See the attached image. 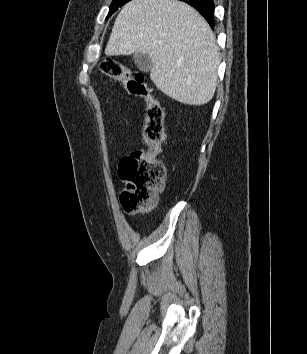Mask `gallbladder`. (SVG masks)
Returning <instances> with one entry per match:
<instances>
[{
	"instance_id": "bac80fb5",
	"label": "gallbladder",
	"mask_w": 307,
	"mask_h": 354,
	"mask_svg": "<svg viewBox=\"0 0 307 354\" xmlns=\"http://www.w3.org/2000/svg\"><path fill=\"white\" fill-rule=\"evenodd\" d=\"M133 60L135 65L143 72H149L153 67V62L150 57L143 52L133 54Z\"/></svg>"
}]
</instances>
